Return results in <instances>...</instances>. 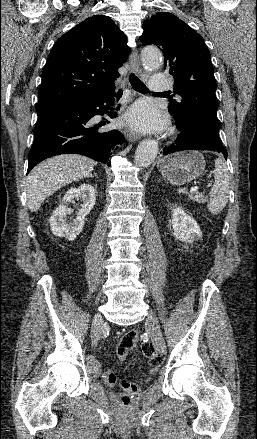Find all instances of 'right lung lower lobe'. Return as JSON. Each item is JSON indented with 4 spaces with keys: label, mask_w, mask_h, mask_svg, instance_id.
<instances>
[{
    "label": "right lung lower lobe",
    "mask_w": 257,
    "mask_h": 439,
    "mask_svg": "<svg viewBox=\"0 0 257 439\" xmlns=\"http://www.w3.org/2000/svg\"><path fill=\"white\" fill-rule=\"evenodd\" d=\"M115 87L108 93L59 105L38 113L34 143L28 154L27 172L46 158L66 153L81 154L110 166V154L124 141L117 130L101 128L109 123H96L93 117L113 110ZM111 116L112 114L108 113Z\"/></svg>",
    "instance_id": "98d812e1"
}]
</instances>
